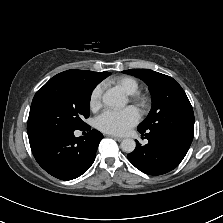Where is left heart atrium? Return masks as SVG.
Listing matches in <instances>:
<instances>
[{
  "label": "left heart atrium",
  "mask_w": 223,
  "mask_h": 223,
  "mask_svg": "<svg viewBox=\"0 0 223 223\" xmlns=\"http://www.w3.org/2000/svg\"><path fill=\"white\" fill-rule=\"evenodd\" d=\"M140 120V114L134 106L123 110L107 109L96 119L97 127L110 134L122 135L127 133Z\"/></svg>",
  "instance_id": "left-heart-atrium-1"
}]
</instances>
